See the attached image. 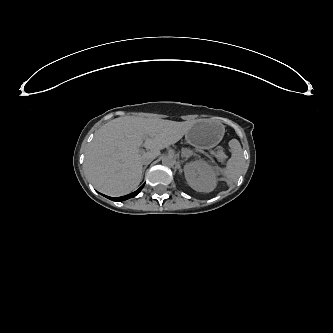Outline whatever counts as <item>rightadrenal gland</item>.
<instances>
[{
  "label": "right adrenal gland",
  "instance_id": "1",
  "mask_svg": "<svg viewBox=\"0 0 333 333\" xmlns=\"http://www.w3.org/2000/svg\"><path fill=\"white\" fill-rule=\"evenodd\" d=\"M146 168H147V166H144V167H143V172L145 171Z\"/></svg>",
  "mask_w": 333,
  "mask_h": 333
}]
</instances>
